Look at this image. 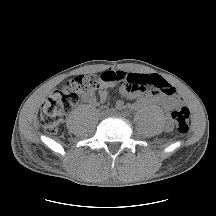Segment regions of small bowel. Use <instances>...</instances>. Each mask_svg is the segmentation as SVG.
Returning <instances> with one entry per match:
<instances>
[{"instance_id": "small-bowel-1", "label": "small bowel", "mask_w": 216, "mask_h": 216, "mask_svg": "<svg viewBox=\"0 0 216 216\" xmlns=\"http://www.w3.org/2000/svg\"><path fill=\"white\" fill-rule=\"evenodd\" d=\"M110 77H116L115 81H108ZM100 79L103 82L108 81V86L116 83V85L120 86L119 91L124 97L136 100V104L132 106L133 108H137L140 105L147 103H155L167 110L176 101L175 99L170 98L175 94V89L172 86H169V83L166 80L155 74L108 71L103 73L100 76ZM158 83L160 84L157 89ZM107 97L108 90L102 89L99 92V103H104ZM87 101L91 104L98 103L94 96L88 98ZM116 105L118 108L124 107V103L121 100L117 101Z\"/></svg>"}]
</instances>
